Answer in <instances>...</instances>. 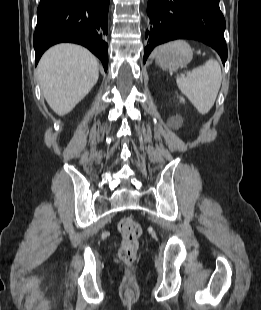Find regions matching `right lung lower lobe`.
I'll return each instance as SVG.
<instances>
[{"label":"right lung lower lobe","instance_id":"right-lung-lower-lobe-1","mask_svg":"<svg viewBox=\"0 0 261 310\" xmlns=\"http://www.w3.org/2000/svg\"><path fill=\"white\" fill-rule=\"evenodd\" d=\"M110 0H41L33 44L35 63L51 45L72 42L87 47L108 67V9Z\"/></svg>","mask_w":261,"mask_h":310}]
</instances>
